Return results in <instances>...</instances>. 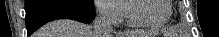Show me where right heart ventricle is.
Listing matches in <instances>:
<instances>
[{
  "instance_id": "e07e8e85",
  "label": "right heart ventricle",
  "mask_w": 219,
  "mask_h": 37,
  "mask_svg": "<svg viewBox=\"0 0 219 37\" xmlns=\"http://www.w3.org/2000/svg\"><path fill=\"white\" fill-rule=\"evenodd\" d=\"M127 2H129V1H127ZM127 7H128V4H127ZM127 22H128V24H130V25H134V24L131 22L130 19H128Z\"/></svg>"
}]
</instances>
